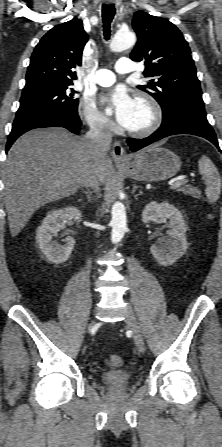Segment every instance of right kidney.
<instances>
[{
  "instance_id": "obj_1",
  "label": "right kidney",
  "mask_w": 222,
  "mask_h": 447,
  "mask_svg": "<svg viewBox=\"0 0 222 447\" xmlns=\"http://www.w3.org/2000/svg\"><path fill=\"white\" fill-rule=\"evenodd\" d=\"M82 214L76 207L69 206L63 209L52 210L43 219L42 224L36 231V240L46 258L55 264H61L68 260L75 245L72 237H67L64 246H61L53 235L65 227L69 219L77 223L81 221Z\"/></svg>"
}]
</instances>
